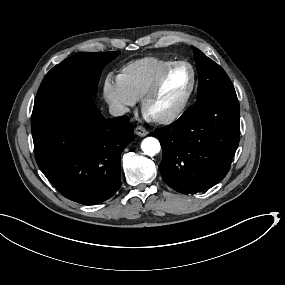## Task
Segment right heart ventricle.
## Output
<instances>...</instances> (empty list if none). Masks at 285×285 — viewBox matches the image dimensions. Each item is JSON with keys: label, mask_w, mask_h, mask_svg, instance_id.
I'll return each mask as SVG.
<instances>
[{"label": "right heart ventricle", "mask_w": 285, "mask_h": 285, "mask_svg": "<svg viewBox=\"0 0 285 285\" xmlns=\"http://www.w3.org/2000/svg\"><path fill=\"white\" fill-rule=\"evenodd\" d=\"M170 66V62L155 57L137 60L130 66V76L123 86L133 97L141 98Z\"/></svg>", "instance_id": "obj_1"}]
</instances>
